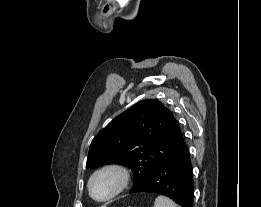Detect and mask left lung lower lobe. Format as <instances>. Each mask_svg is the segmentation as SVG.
I'll return each instance as SVG.
<instances>
[{"label":"left lung lower lobe","mask_w":261,"mask_h":207,"mask_svg":"<svg viewBox=\"0 0 261 207\" xmlns=\"http://www.w3.org/2000/svg\"><path fill=\"white\" fill-rule=\"evenodd\" d=\"M157 193L169 197L181 207H193L194 181L189 149L183 141L180 149L130 193Z\"/></svg>","instance_id":"1"}]
</instances>
